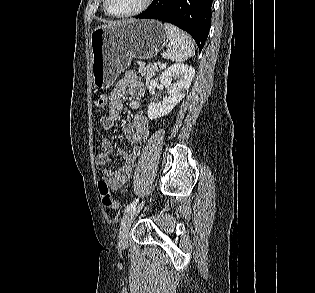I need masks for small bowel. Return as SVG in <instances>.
I'll return each mask as SVG.
<instances>
[{
	"mask_svg": "<svg viewBox=\"0 0 315 293\" xmlns=\"http://www.w3.org/2000/svg\"><path fill=\"white\" fill-rule=\"evenodd\" d=\"M145 88L137 78L134 71H127L122 79L118 81L108 97L109 111L101 118V125L105 131L113 129L115 123L121 118L123 108V97L129 93L133 100L130 107L134 110L140 108V98L143 96ZM122 131L127 140L133 145L130 152L118 150V155L123 159L122 165L117 169L105 168L103 179L111 190L122 188L129 180L135 161L140 153L142 144L149 135L147 118L142 114H136L129 124L123 126ZM114 152L113 143L105 138L101 142V151L97 154L95 162L98 166L105 167L111 162Z\"/></svg>",
	"mask_w": 315,
	"mask_h": 293,
	"instance_id": "c3829d8e",
	"label": "small bowel"
}]
</instances>
